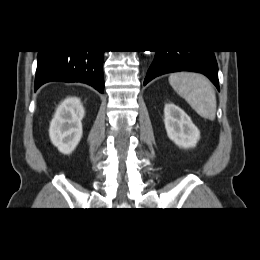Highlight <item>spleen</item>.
Returning a JSON list of instances; mask_svg holds the SVG:
<instances>
[{
  "mask_svg": "<svg viewBox=\"0 0 260 260\" xmlns=\"http://www.w3.org/2000/svg\"><path fill=\"white\" fill-rule=\"evenodd\" d=\"M172 88L203 118L216 117V95L211 82L197 73L179 72L169 76Z\"/></svg>",
  "mask_w": 260,
  "mask_h": 260,
  "instance_id": "3e777b00",
  "label": "spleen"
}]
</instances>
